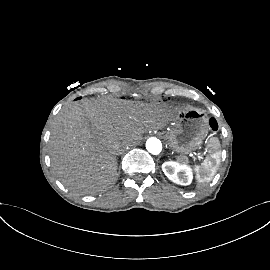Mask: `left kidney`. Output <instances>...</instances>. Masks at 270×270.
<instances>
[{
	"label": "left kidney",
	"instance_id": "5707ae66",
	"mask_svg": "<svg viewBox=\"0 0 270 270\" xmlns=\"http://www.w3.org/2000/svg\"><path fill=\"white\" fill-rule=\"evenodd\" d=\"M162 170L169 180L179 185H189L192 182L193 174L190 168L183 167L174 161H167L162 164Z\"/></svg>",
	"mask_w": 270,
	"mask_h": 270
}]
</instances>
